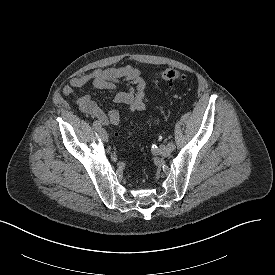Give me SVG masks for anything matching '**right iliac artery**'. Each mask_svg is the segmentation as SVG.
Returning a JSON list of instances; mask_svg holds the SVG:
<instances>
[{
  "mask_svg": "<svg viewBox=\"0 0 275 275\" xmlns=\"http://www.w3.org/2000/svg\"><path fill=\"white\" fill-rule=\"evenodd\" d=\"M93 128L99 130L101 128V124L96 120L93 122Z\"/></svg>",
  "mask_w": 275,
  "mask_h": 275,
  "instance_id": "obj_1",
  "label": "right iliac artery"
}]
</instances>
